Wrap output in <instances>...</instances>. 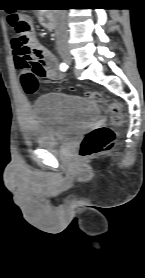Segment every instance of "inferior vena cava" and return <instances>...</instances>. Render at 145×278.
Listing matches in <instances>:
<instances>
[{"label":"inferior vena cava","instance_id":"602c4592","mask_svg":"<svg viewBox=\"0 0 145 278\" xmlns=\"http://www.w3.org/2000/svg\"><path fill=\"white\" fill-rule=\"evenodd\" d=\"M56 39L58 44L66 43L68 39L66 13L64 10H58Z\"/></svg>","mask_w":145,"mask_h":278}]
</instances>
